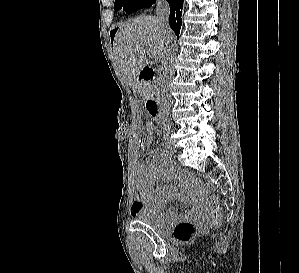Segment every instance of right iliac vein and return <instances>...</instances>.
Here are the masks:
<instances>
[{
    "instance_id": "1",
    "label": "right iliac vein",
    "mask_w": 299,
    "mask_h": 273,
    "mask_svg": "<svg viewBox=\"0 0 299 273\" xmlns=\"http://www.w3.org/2000/svg\"><path fill=\"white\" fill-rule=\"evenodd\" d=\"M164 147H165L166 150H168L172 153L175 152V148H174L173 144L170 141L164 142Z\"/></svg>"
}]
</instances>
